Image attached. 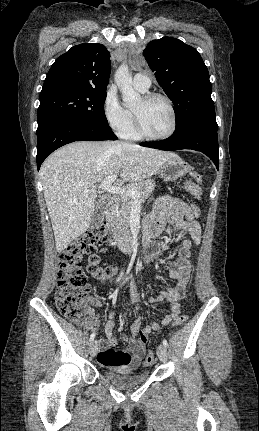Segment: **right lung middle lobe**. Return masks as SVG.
I'll list each match as a JSON object with an SVG mask.
<instances>
[{
	"label": "right lung middle lobe",
	"mask_w": 259,
	"mask_h": 431,
	"mask_svg": "<svg viewBox=\"0 0 259 431\" xmlns=\"http://www.w3.org/2000/svg\"><path fill=\"white\" fill-rule=\"evenodd\" d=\"M106 94V90L53 86L40 93L38 127L57 118H74L93 124L108 125L104 113Z\"/></svg>",
	"instance_id": "obj_1"
}]
</instances>
